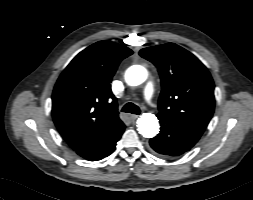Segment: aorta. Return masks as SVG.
Instances as JSON below:
<instances>
[{
    "label": "aorta",
    "mask_w": 253,
    "mask_h": 200,
    "mask_svg": "<svg viewBox=\"0 0 253 200\" xmlns=\"http://www.w3.org/2000/svg\"><path fill=\"white\" fill-rule=\"evenodd\" d=\"M147 79V70L141 65L131 66L125 74L128 85L137 86ZM139 133L146 138H153L159 133V122L157 117L151 113H143L137 122Z\"/></svg>",
    "instance_id": "762f6f07"
}]
</instances>
